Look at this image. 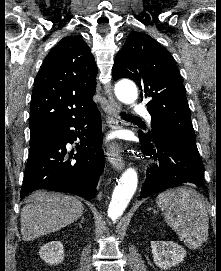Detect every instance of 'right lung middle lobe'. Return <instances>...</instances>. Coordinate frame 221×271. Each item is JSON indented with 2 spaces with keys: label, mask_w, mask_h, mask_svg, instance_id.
Listing matches in <instances>:
<instances>
[{
  "label": "right lung middle lobe",
  "mask_w": 221,
  "mask_h": 271,
  "mask_svg": "<svg viewBox=\"0 0 221 271\" xmlns=\"http://www.w3.org/2000/svg\"><path fill=\"white\" fill-rule=\"evenodd\" d=\"M55 129L56 128H45V129L30 131L31 132L30 144L33 143L36 139L42 138V137L50 134Z\"/></svg>",
  "instance_id": "obj_1"
}]
</instances>
